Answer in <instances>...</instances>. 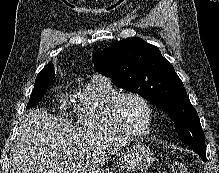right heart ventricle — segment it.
<instances>
[{"label": "right heart ventricle", "instance_id": "1", "mask_svg": "<svg viewBox=\"0 0 219 173\" xmlns=\"http://www.w3.org/2000/svg\"><path fill=\"white\" fill-rule=\"evenodd\" d=\"M119 94L106 78L94 76L71 104V114L80 126L98 133L122 135L110 117L109 107Z\"/></svg>", "mask_w": 219, "mask_h": 173}]
</instances>
